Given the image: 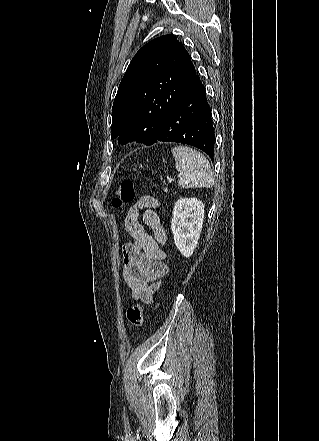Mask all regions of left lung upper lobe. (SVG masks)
<instances>
[{"instance_id": "5c2ea615", "label": "left lung upper lobe", "mask_w": 319, "mask_h": 441, "mask_svg": "<svg viewBox=\"0 0 319 441\" xmlns=\"http://www.w3.org/2000/svg\"><path fill=\"white\" fill-rule=\"evenodd\" d=\"M195 74L190 55L174 35L144 45L119 85L111 138L149 145Z\"/></svg>"}]
</instances>
